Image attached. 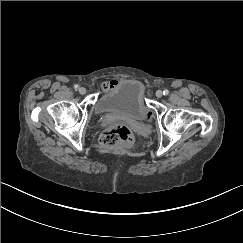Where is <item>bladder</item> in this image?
<instances>
[{
	"mask_svg": "<svg viewBox=\"0 0 243 243\" xmlns=\"http://www.w3.org/2000/svg\"><path fill=\"white\" fill-rule=\"evenodd\" d=\"M145 88L141 81L124 79L103 93L94 108L98 114L124 117L137 121L149 119L144 100Z\"/></svg>",
	"mask_w": 243,
	"mask_h": 243,
	"instance_id": "31cf9c89",
	"label": "bladder"
}]
</instances>
